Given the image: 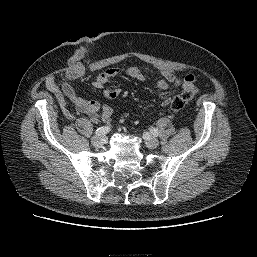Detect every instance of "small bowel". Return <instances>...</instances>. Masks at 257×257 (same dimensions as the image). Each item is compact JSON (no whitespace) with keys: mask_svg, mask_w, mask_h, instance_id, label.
I'll use <instances>...</instances> for the list:
<instances>
[{"mask_svg":"<svg viewBox=\"0 0 257 257\" xmlns=\"http://www.w3.org/2000/svg\"><path fill=\"white\" fill-rule=\"evenodd\" d=\"M121 69L117 67L109 68L100 73L93 81V87L97 89L103 88L112 78L117 77L121 73ZM126 75L130 78L145 81V73L136 66H128L124 69ZM149 73H153L151 70H147ZM161 79L158 81V87L161 90H168L170 88L186 87L195 83V77L192 74H188L184 79L178 78L170 70H159ZM82 72L79 70H71L67 72L62 78L61 84L58 85L54 77H48L46 80V87L57 98L62 111L66 118L73 119L74 114L67 108L66 103L70 102L79 112L86 115L93 122L102 121L106 124L110 122L112 109L107 105H101L95 100H87L81 97L72 86V82L82 76ZM121 93L120 88H106L103 91V95L108 100L116 99ZM170 99L166 98L163 101V105H168Z\"/></svg>","mask_w":257,"mask_h":257,"instance_id":"small-bowel-1","label":"small bowel"}]
</instances>
